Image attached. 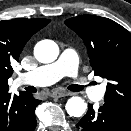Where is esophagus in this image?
<instances>
[{"label":"esophagus","mask_w":131,"mask_h":131,"mask_svg":"<svg viewBox=\"0 0 131 131\" xmlns=\"http://www.w3.org/2000/svg\"><path fill=\"white\" fill-rule=\"evenodd\" d=\"M69 95H72V93L66 91H55L51 94V96L54 98H61Z\"/></svg>","instance_id":"obj_1"}]
</instances>
